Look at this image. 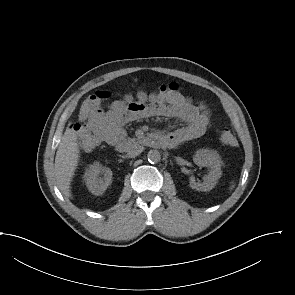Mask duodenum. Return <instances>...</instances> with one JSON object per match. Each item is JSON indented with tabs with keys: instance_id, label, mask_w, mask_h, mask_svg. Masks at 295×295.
<instances>
[{
	"instance_id": "1",
	"label": "duodenum",
	"mask_w": 295,
	"mask_h": 295,
	"mask_svg": "<svg viewBox=\"0 0 295 295\" xmlns=\"http://www.w3.org/2000/svg\"><path fill=\"white\" fill-rule=\"evenodd\" d=\"M145 143L151 147H158L165 144V138L153 133L145 139ZM115 146L118 152H125L129 149V145L123 141H118Z\"/></svg>"
}]
</instances>
